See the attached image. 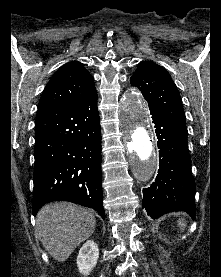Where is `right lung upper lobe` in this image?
<instances>
[{
  "label": "right lung upper lobe",
  "instance_id": "cb5924a9",
  "mask_svg": "<svg viewBox=\"0 0 221 277\" xmlns=\"http://www.w3.org/2000/svg\"><path fill=\"white\" fill-rule=\"evenodd\" d=\"M96 94L92 75L78 61L60 67L46 85L38 109L64 107Z\"/></svg>",
  "mask_w": 221,
  "mask_h": 277
}]
</instances>
